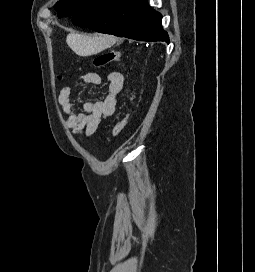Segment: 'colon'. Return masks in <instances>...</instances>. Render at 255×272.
Masks as SVG:
<instances>
[{"instance_id":"5ec220e1","label":"colon","mask_w":255,"mask_h":272,"mask_svg":"<svg viewBox=\"0 0 255 272\" xmlns=\"http://www.w3.org/2000/svg\"><path fill=\"white\" fill-rule=\"evenodd\" d=\"M123 60V55L119 51H109L106 53H103L99 56H97L93 64L97 68L104 67L112 62H117V61H122ZM128 114L126 113L113 127L111 131V138H116L118 137L121 132L123 131L126 121H127Z\"/></svg>"}]
</instances>
